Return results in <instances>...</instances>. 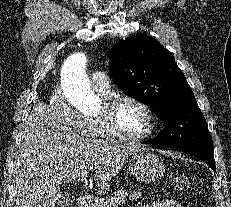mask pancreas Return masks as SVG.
<instances>
[{
	"label": "pancreas",
	"mask_w": 231,
	"mask_h": 207,
	"mask_svg": "<svg viewBox=\"0 0 231 207\" xmlns=\"http://www.w3.org/2000/svg\"><path fill=\"white\" fill-rule=\"evenodd\" d=\"M142 194L139 191L128 192L126 190H117L105 198L96 199L92 207H116L126 203L127 199L137 200Z\"/></svg>",
	"instance_id": "cf45deb5"
}]
</instances>
